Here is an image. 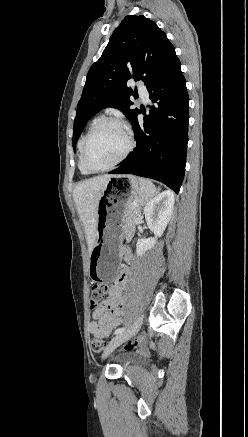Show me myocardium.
Returning <instances> with one entry per match:
<instances>
[{"label": "myocardium", "mask_w": 248, "mask_h": 437, "mask_svg": "<svg viewBox=\"0 0 248 437\" xmlns=\"http://www.w3.org/2000/svg\"><path fill=\"white\" fill-rule=\"evenodd\" d=\"M107 124H116L123 129V131L126 135V139H127V147H126L125 151L123 152V154L114 163H112L111 165H109L105 168L97 169V168L92 167L88 161V147H89L91 140L96 135V133ZM134 147H135V141H134L132 132H131L130 128L128 127V125L123 120H121L119 118L105 117V118L100 119L93 126V128L90 130L87 137L85 138L83 146H82V163H83L85 169L87 171H89L90 173L106 172V171L112 170L117 165L122 163L129 156V154L133 151Z\"/></svg>", "instance_id": "1"}]
</instances>
